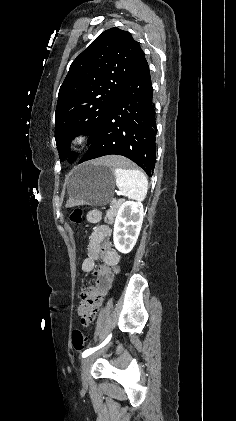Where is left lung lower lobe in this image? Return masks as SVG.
<instances>
[{"mask_svg": "<svg viewBox=\"0 0 236 421\" xmlns=\"http://www.w3.org/2000/svg\"><path fill=\"white\" fill-rule=\"evenodd\" d=\"M152 98L149 66L140 48L125 85L79 163L110 154L122 155L151 177L156 162L155 104Z\"/></svg>", "mask_w": 236, "mask_h": 421, "instance_id": "0a47b994", "label": "left lung lower lobe"}]
</instances>
